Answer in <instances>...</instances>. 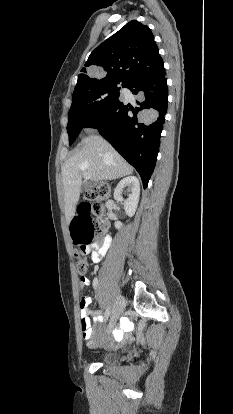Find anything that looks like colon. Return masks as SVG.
I'll use <instances>...</instances> for the list:
<instances>
[{
  "label": "colon",
  "mask_w": 233,
  "mask_h": 414,
  "mask_svg": "<svg viewBox=\"0 0 233 414\" xmlns=\"http://www.w3.org/2000/svg\"><path fill=\"white\" fill-rule=\"evenodd\" d=\"M110 194V188L106 184L98 185L87 193V198L93 200L79 206L76 216L71 222V235L76 251V269L78 273L87 272L88 262L82 256L86 247L90 246L95 238L104 230L105 224L102 218V206L100 200ZM80 284V283H79ZM81 288L83 284H80Z\"/></svg>",
  "instance_id": "5ec220e1"
}]
</instances>
